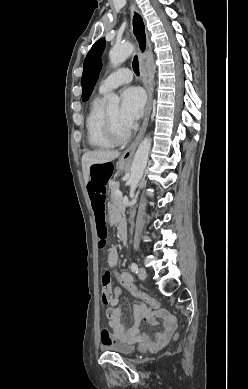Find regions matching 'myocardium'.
Returning a JSON list of instances; mask_svg holds the SVG:
<instances>
[{"instance_id": "1", "label": "myocardium", "mask_w": 248, "mask_h": 389, "mask_svg": "<svg viewBox=\"0 0 248 389\" xmlns=\"http://www.w3.org/2000/svg\"><path fill=\"white\" fill-rule=\"evenodd\" d=\"M104 120L106 135L113 143L122 144L129 140L131 133L129 131L123 134L118 132L107 111L105 112Z\"/></svg>"}]
</instances>
